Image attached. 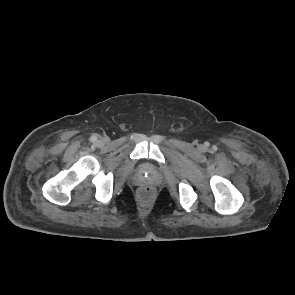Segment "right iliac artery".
Segmentation results:
<instances>
[{"label":"right iliac artery","mask_w":295,"mask_h":295,"mask_svg":"<svg viewBox=\"0 0 295 295\" xmlns=\"http://www.w3.org/2000/svg\"><path fill=\"white\" fill-rule=\"evenodd\" d=\"M96 140H97L96 136L91 137V141H96Z\"/></svg>","instance_id":"right-iliac-artery-1"}]
</instances>
